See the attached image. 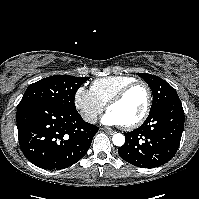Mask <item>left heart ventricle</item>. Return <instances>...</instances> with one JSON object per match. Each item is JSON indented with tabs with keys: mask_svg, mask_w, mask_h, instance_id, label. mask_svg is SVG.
<instances>
[{
	"mask_svg": "<svg viewBox=\"0 0 199 199\" xmlns=\"http://www.w3.org/2000/svg\"><path fill=\"white\" fill-rule=\"evenodd\" d=\"M147 93L144 87L137 86L130 90L122 101L113 105L111 111L121 122L128 124L135 121L144 111Z\"/></svg>",
	"mask_w": 199,
	"mask_h": 199,
	"instance_id": "obj_1",
	"label": "left heart ventricle"
}]
</instances>
